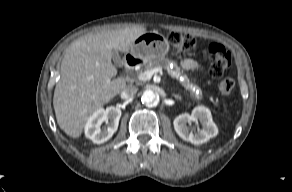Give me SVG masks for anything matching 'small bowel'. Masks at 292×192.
<instances>
[{
  "instance_id": "1",
  "label": "small bowel",
  "mask_w": 292,
  "mask_h": 192,
  "mask_svg": "<svg viewBox=\"0 0 292 192\" xmlns=\"http://www.w3.org/2000/svg\"><path fill=\"white\" fill-rule=\"evenodd\" d=\"M182 67L187 71H197V70H199L198 64L192 59L183 60Z\"/></svg>"
}]
</instances>
